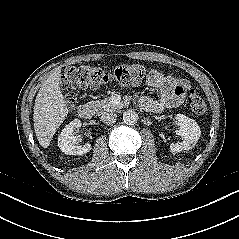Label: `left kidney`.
<instances>
[{
	"mask_svg": "<svg viewBox=\"0 0 239 239\" xmlns=\"http://www.w3.org/2000/svg\"><path fill=\"white\" fill-rule=\"evenodd\" d=\"M175 119L180 127L178 135L182 137L183 141L170 144L171 151L178 153L183 150L192 149L200 138V127L195 120L190 119L183 114H177Z\"/></svg>",
	"mask_w": 239,
	"mask_h": 239,
	"instance_id": "1",
	"label": "left kidney"
}]
</instances>
